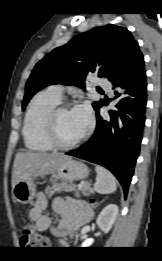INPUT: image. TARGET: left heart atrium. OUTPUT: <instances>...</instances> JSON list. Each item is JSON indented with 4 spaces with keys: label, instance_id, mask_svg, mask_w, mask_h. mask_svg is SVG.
<instances>
[{
    "label": "left heart atrium",
    "instance_id": "left-heart-atrium-1",
    "mask_svg": "<svg viewBox=\"0 0 162 261\" xmlns=\"http://www.w3.org/2000/svg\"><path fill=\"white\" fill-rule=\"evenodd\" d=\"M73 114L76 116L81 126L86 130L92 122L91 109L88 104H81L73 109Z\"/></svg>",
    "mask_w": 162,
    "mask_h": 261
}]
</instances>
